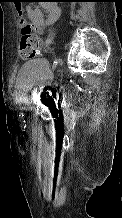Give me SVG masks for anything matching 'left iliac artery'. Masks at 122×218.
<instances>
[{
	"mask_svg": "<svg viewBox=\"0 0 122 218\" xmlns=\"http://www.w3.org/2000/svg\"><path fill=\"white\" fill-rule=\"evenodd\" d=\"M60 63V59L55 58L52 65V70L54 71L57 65Z\"/></svg>",
	"mask_w": 122,
	"mask_h": 218,
	"instance_id": "obj_1",
	"label": "left iliac artery"
}]
</instances>
